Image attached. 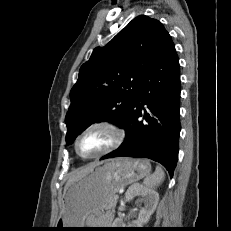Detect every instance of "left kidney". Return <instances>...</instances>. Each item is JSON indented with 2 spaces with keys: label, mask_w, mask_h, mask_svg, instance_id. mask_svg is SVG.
Listing matches in <instances>:
<instances>
[{
  "label": "left kidney",
  "mask_w": 231,
  "mask_h": 231,
  "mask_svg": "<svg viewBox=\"0 0 231 231\" xmlns=\"http://www.w3.org/2000/svg\"><path fill=\"white\" fill-rule=\"evenodd\" d=\"M136 196L139 197L140 201L144 202V207L140 209L138 218L134 222V226L139 228L149 221L150 216L155 211L159 201V194L155 190L145 188L139 184H134L126 191L125 198L127 201H130ZM119 224L120 219H116L113 222L115 227H117Z\"/></svg>",
  "instance_id": "obj_1"
}]
</instances>
